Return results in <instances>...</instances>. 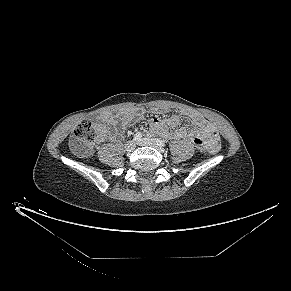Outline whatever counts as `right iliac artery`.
I'll return each instance as SVG.
<instances>
[{"instance_id":"1","label":"right iliac artery","mask_w":291,"mask_h":291,"mask_svg":"<svg viewBox=\"0 0 291 291\" xmlns=\"http://www.w3.org/2000/svg\"><path fill=\"white\" fill-rule=\"evenodd\" d=\"M142 138V133H140V132H138V133H136L135 135H134V140L135 141H138V140H140Z\"/></svg>"}]
</instances>
